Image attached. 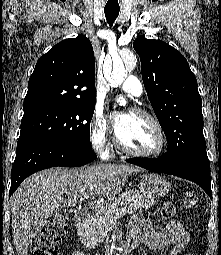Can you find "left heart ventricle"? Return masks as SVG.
Listing matches in <instances>:
<instances>
[{
  "mask_svg": "<svg viewBox=\"0 0 221 255\" xmlns=\"http://www.w3.org/2000/svg\"><path fill=\"white\" fill-rule=\"evenodd\" d=\"M117 134L127 147L138 151L153 150L158 144V134L152 123L132 112L125 113V121Z\"/></svg>",
  "mask_w": 221,
  "mask_h": 255,
  "instance_id": "obj_1",
  "label": "left heart ventricle"
}]
</instances>
